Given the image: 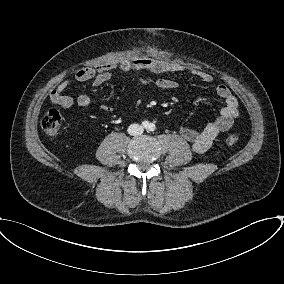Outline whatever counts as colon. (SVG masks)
Returning <instances> with one entry per match:
<instances>
[{
  "label": "colon",
  "instance_id": "1",
  "mask_svg": "<svg viewBox=\"0 0 284 284\" xmlns=\"http://www.w3.org/2000/svg\"><path fill=\"white\" fill-rule=\"evenodd\" d=\"M62 116L60 112L52 108L48 110L41 119V127L43 131L49 136H56L61 129ZM238 138L236 135H230L227 137V144L234 146L237 144Z\"/></svg>",
  "mask_w": 284,
  "mask_h": 284
}]
</instances>
